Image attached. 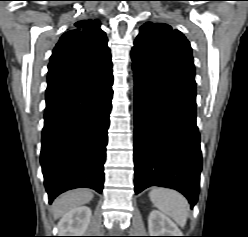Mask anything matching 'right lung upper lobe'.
<instances>
[{
    "mask_svg": "<svg viewBox=\"0 0 248 237\" xmlns=\"http://www.w3.org/2000/svg\"><path fill=\"white\" fill-rule=\"evenodd\" d=\"M48 66V88L97 76L112 67L107 37L98 20H81L55 46Z\"/></svg>",
    "mask_w": 248,
    "mask_h": 237,
    "instance_id": "right-lung-upper-lobe-1",
    "label": "right lung upper lobe"
}]
</instances>
